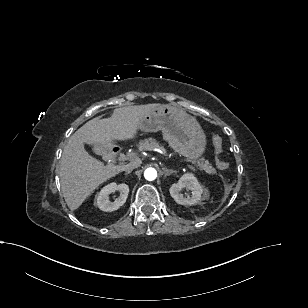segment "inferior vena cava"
<instances>
[{"mask_svg":"<svg viewBox=\"0 0 308 308\" xmlns=\"http://www.w3.org/2000/svg\"><path fill=\"white\" fill-rule=\"evenodd\" d=\"M139 166V164L138 163H130V164H128V165H126V168H125V171H126V173H131V171L134 169V168H136V167H138Z\"/></svg>","mask_w":308,"mask_h":308,"instance_id":"602c4592","label":"inferior vena cava"}]
</instances>
